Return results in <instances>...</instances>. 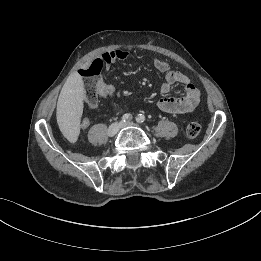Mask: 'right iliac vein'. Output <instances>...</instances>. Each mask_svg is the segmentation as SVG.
<instances>
[{
  "instance_id": "obj_1",
  "label": "right iliac vein",
  "mask_w": 261,
  "mask_h": 261,
  "mask_svg": "<svg viewBox=\"0 0 261 261\" xmlns=\"http://www.w3.org/2000/svg\"><path fill=\"white\" fill-rule=\"evenodd\" d=\"M122 122H115L113 124H111L107 130V134L110 137H113L117 134V132L119 131L120 127H121Z\"/></svg>"
}]
</instances>
